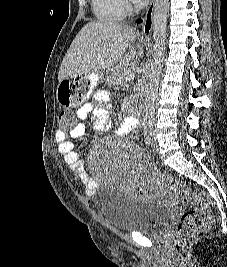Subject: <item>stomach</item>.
<instances>
[{
	"label": "stomach",
	"mask_w": 227,
	"mask_h": 267,
	"mask_svg": "<svg viewBox=\"0 0 227 267\" xmlns=\"http://www.w3.org/2000/svg\"><path fill=\"white\" fill-rule=\"evenodd\" d=\"M100 79L99 72L62 77L56 101H59L60 107H78L86 103V96H90Z\"/></svg>",
	"instance_id": "obj_1"
}]
</instances>
